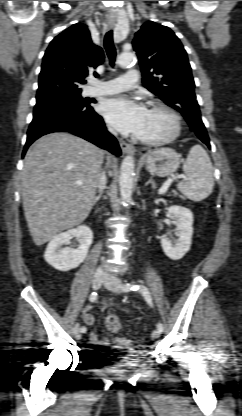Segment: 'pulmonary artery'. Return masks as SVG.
Listing matches in <instances>:
<instances>
[{
    "instance_id": "1",
    "label": "pulmonary artery",
    "mask_w": 242,
    "mask_h": 416,
    "mask_svg": "<svg viewBox=\"0 0 242 416\" xmlns=\"http://www.w3.org/2000/svg\"><path fill=\"white\" fill-rule=\"evenodd\" d=\"M138 85V71L129 69L125 75L105 81H97L89 90L91 96L112 95L120 93Z\"/></svg>"
}]
</instances>
